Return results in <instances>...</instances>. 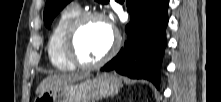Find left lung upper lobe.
<instances>
[{
    "mask_svg": "<svg viewBox=\"0 0 221 102\" xmlns=\"http://www.w3.org/2000/svg\"><path fill=\"white\" fill-rule=\"evenodd\" d=\"M71 0H47L44 10V23L47 28H50L54 17L70 2ZM98 2L106 3L104 0Z\"/></svg>",
    "mask_w": 221,
    "mask_h": 102,
    "instance_id": "left-lung-upper-lobe-1",
    "label": "left lung upper lobe"
}]
</instances>
